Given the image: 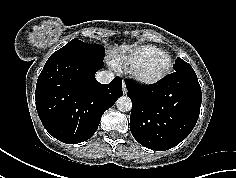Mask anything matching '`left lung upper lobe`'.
Returning <instances> with one entry per match:
<instances>
[{
  "mask_svg": "<svg viewBox=\"0 0 236 178\" xmlns=\"http://www.w3.org/2000/svg\"><path fill=\"white\" fill-rule=\"evenodd\" d=\"M175 72H194L193 68L181 58H178L174 66Z\"/></svg>",
  "mask_w": 236,
  "mask_h": 178,
  "instance_id": "obj_1",
  "label": "left lung upper lobe"
}]
</instances>
